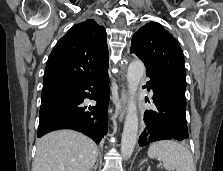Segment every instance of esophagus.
Wrapping results in <instances>:
<instances>
[{"instance_id": "esophagus-1", "label": "esophagus", "mask_w": 223, "mask_h": 171, "mask_svg": "<svg viewBox=\"0 0 223 171\" xmlns=\"http://www.w3.org/2000/svg\"><path fill=\"white\" fill-rule=\"evenodd\" d=\"M128 64V61L127 59H124L122 61V68H126ZM127 97H128V92L126 90V88H123L122 92H121V96H120V102H121V105H122V112L119 116V121L122 122L123 120V117H124V112H125V105H126V102H127Z\"/></svg>"}]
</instances>
